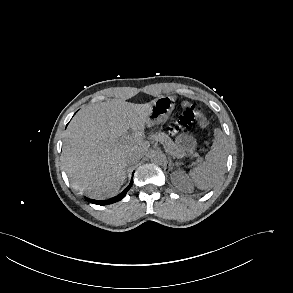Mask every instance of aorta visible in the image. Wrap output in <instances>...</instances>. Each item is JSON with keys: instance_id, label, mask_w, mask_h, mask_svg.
<instances>
[{"instance_id": "762f6f07", "label": "aorta", "mask_w": 293, "mask_h": 293, "mask_svg": "<svg viewBox=\"0 0 293 293\" xmlns=\"http://www.w3.org/2000/svg\"><path fill=\"white\" fill-rule=\"evenodd\" d=\"M151 162L155 164H162L165 160V156L162 153L154 152L151 157Z\"/></svg>"}]
</instances>
